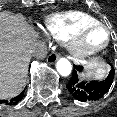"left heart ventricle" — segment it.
Here are the masks:
<instances>
[{
	"label": "left heart ventricle",
	"mask_w": 117,
	"mask_h": 117,
	"mask_svg": "<svg viewBox=\"0 0 117 117\" xmlns=\"http://www.w3.org/2000/svg\"><path fill=\"white\" fill-rule=\"evenodd\" d=\"M106 39V32L101 28H95L89 31L84 39L83 44L86 47H97L102 45Z\"/></svg>",
	"instance_id": "left-heart-ventricle-1"
}]
</instances>
